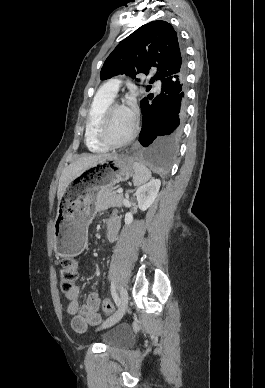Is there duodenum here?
Returning <instances> with one entry per match:
<instances>
[{"instance_id":"410a0bca","label":"duodenum","mask_w":265,"mask_h":388,"mask_svg":"<svg viewBox=\"0 0 265 388\" xmlns=\"http://www.w3.org/2000/svg\"><path fill=\"white\" fill-rule=\"evenodd\" d=\"M110 227H113V224H110Z\"/></svg>"}]
</instances>
